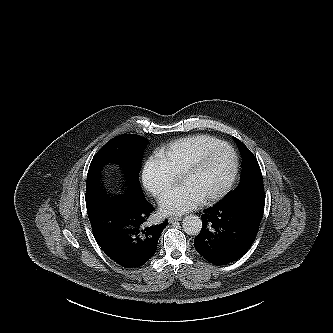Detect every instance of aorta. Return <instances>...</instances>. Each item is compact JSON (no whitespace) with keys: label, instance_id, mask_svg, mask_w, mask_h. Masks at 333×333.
Returning <instances> with one entry per match:
<instances>
[{"label":"aorta","instance_id":"762f6f07","mask_svg":"<svg viewBox=\"0 0 333 333\" xmlns=\"http://www.w3.org/2000/svg\"><path fill=\"white\" fill-rule=\"evenodd\" d=\"M183 231L192 236H196L202 229V221L197 215H187L182 222Z\"/></svg>","mask_w":333,"mask_h":333}]
</instances>
